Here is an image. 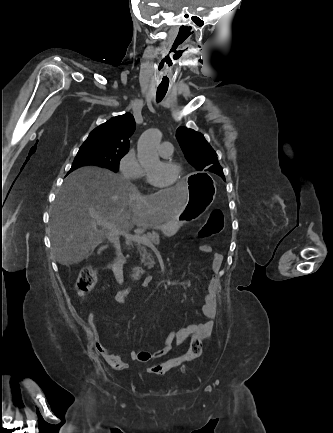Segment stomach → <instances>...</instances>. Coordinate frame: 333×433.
<instances>
[{
	"instance_id": "1",
	"label": "stomach",
	"mask_w": 333,
	"mask_h": 433,
	"mask_svg": "<svg viewBox=\"0 0 333 433\" xmlns=\"http://www.w3.org/2000/svg\"><path fill=\"white\" fill-rule=\"evenodd\" d=\"M184 181L191 183L189 201L186 202L179 215H175L173 220H169L163 225L162 229L166 234L169 227L177 228L182 224L195 223V218L207 211L215 200L216 183L206 173L185 174Z\"/></svg>"
}]
</instances>
